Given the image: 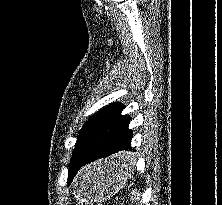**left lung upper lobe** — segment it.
<instances>
[{
	"mask_svg": "<svg viewBox=\"0 0 222 205\" xmlns=\"http://www.w3.org/2000/svg\"><path fill=\"white\" fill-rule=\"evenodd\" d=\"M116 105L117 103H114L101 109L83 125V128L81 129L79 136L77 138L75 149L73 151V156L69 165L68 179L70 178L71 175L72 163L76 160L79 161L80 159H82L87 155V153L95 143L104 122L111 114L112 110L115 108Z\"/></svg>",
	"mask_w": 222,
	"mask_h": 205,
	"instance_id": "left-lung-upper-lobe-1",
	"label": "left lung upper lobe"
}]
</instances>
